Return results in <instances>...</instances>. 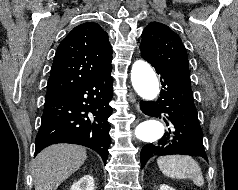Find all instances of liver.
Listing matches in <instances>:
<instances>
[{"instance_id": "6515ba94", "label": "liver", "mask_w": 238, "mask_h": 190, "mask_svg": "<svg viewBox=\"0 0 238 190\" xmlns=\"http://www.w3.org/2000/svg\"><path fill=\"white\" fill-rule=\"evenodd\" d=\"M87 158L84 147L55 144L43 149L33 162L35 190H56Z\"/></svg>"}]
</instances>
